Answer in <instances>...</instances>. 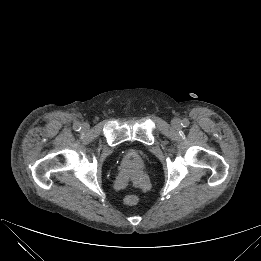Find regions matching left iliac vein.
Segmentation results:
<instances>
[{"label":"left iliac vein","instance_id":"obj_1","mask_svg":"<svg viewBox=\"0 0 261 261\" xmlns=\"http://www.w3.org/2000/svg\"><path fill=\"white\" fill-rule=\"evenodd\" d=\"M172 126L175 128V129H179L181 127V123H180V120L178 118H175L172 120Z\"/></svg>","mask_w":261,"mask_h":261}]
</instances>
